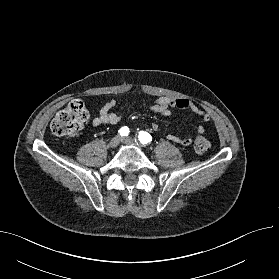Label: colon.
Returning <instances> with one entry per match:
<instances>
[{
    "label": "colon",
    "instance_id": "5ec220e1",
    "mask_svg": "<svg viewBox=\"0 0 279 279\" xmlns=\"http://www.w3.org/2000/svg\"><path fill=\"white\" fill-rule=\"evenodd\" d=\"M87 118L88 112L83 101L75 99L55 115L50 129L56 136H73L83 128ZM194 148L196 152L204 153L210 148V143L204 137H199Z\"/></svg>",
    "mask_w": 279,
    "mask_h": 279
}]
</instances>
